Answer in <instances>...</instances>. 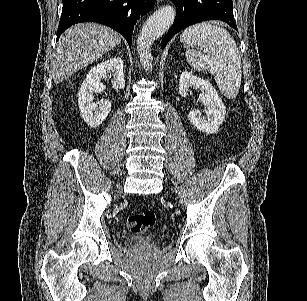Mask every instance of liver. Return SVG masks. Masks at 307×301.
<instances>
[{
  "mask_svg": "<svg viewBox=\"0 0 307 301\" xmlns=\"http://www.w3.org/2000/svg\"><path fill=\"white\" fill-rule=\"evenodd\" d=\"M121 38L119 32L97 22H79L70 26L61 34L52 54L54 82H63L73 72L101 58L103 54L116 48Z\"/></svg>",
  "mask_w": 307,
  "mask_h": 301,
  "instance_id": "1",
  "label": "liver"
}]
</instances>
